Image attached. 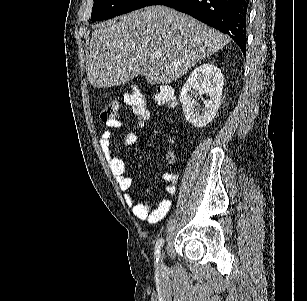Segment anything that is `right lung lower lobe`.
Returning <instances> with one entry per match:
<instances>
[{
    "mask_svg": "<svg viewBox=\"0 0 307 301\" xmlns=\"http://www.w3.org/2000/svg\"><path fill=\"white\" fill-rule=\"evenodd\" d=\"M150 5L174 8L226 33L245 55L249 0H150Z\"/></svg>",
    "mask_w": 307,
    "mask_h": 301,
    "instance_id": "right-lung-lower-lobe-1",
    "label": "right lung lower lobe"
}]
</instances>
